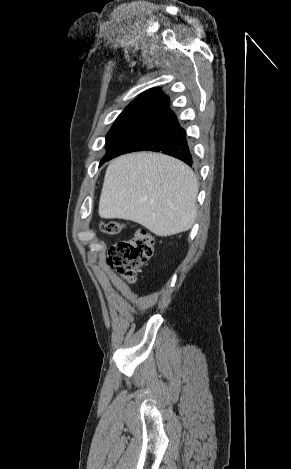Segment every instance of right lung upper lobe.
I'll return each instance as SVG.
<instances>
[{
	"mask_svg": "<svg viewBox=\"0 0 291 469\" xmlns=\"http://www.w3.org/2000/svg\"><path fill=\"white\" fill-rule=\"evenodd\" d=\"M169 105V97L161 91V88H152L140 94L122 113H142L153 117Z\"/></svg>",
	"mask_w": 291,
	"mask_h": 469,
	"instance_id": "right-lung-upper-lobe-1",
	"label": "right lung upper lobe"
}]
</instances>
